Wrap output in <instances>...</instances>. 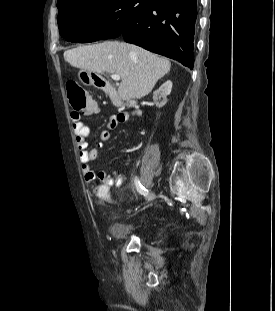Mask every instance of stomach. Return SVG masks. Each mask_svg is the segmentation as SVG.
Masks as SVG:
<instances>
[{"mask_svg": "<svg viewBox=\"0 0 275 311\" xmlns=\"http://www.w3.org/2000/svg\"><path fill=\"white\" fill-rule=\"evenodd\" d=\"M78 77H79V80L84 85H95V84H92V81H90L89 71L80 70L79 73H78Z\"/></svg>", "mask_w": 275, "mask_h": 311, "instance_id": "obj_1", "label": "stomach"}]
</instances>
